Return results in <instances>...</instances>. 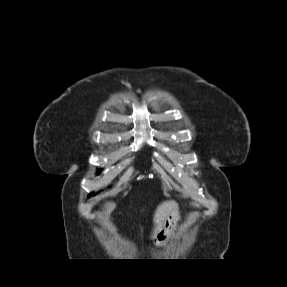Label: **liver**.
<instances>
[{
  "label": "liver",
  "mask_w": 287,
  "mask_h": 287,
  "mask_svg": "<svg viewBox=\"0 0 287 287\" xmlns=\"http://www.w3.org/2000/svg\"><path fill=\"white\" fill-rule=\"evenodd\" d=\"M115 208L114 204H108L106 208V213H110ZM170 215H178V204L174 201H165L161 203L154 214L153 222H154V230H153V236L154 238L155 234L158 232V230L163 226L164 221L170 216Z\"/></svg>",
  "instance_id": "obj_1"
}]
</instances>
